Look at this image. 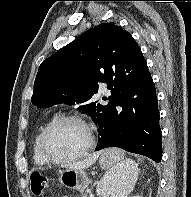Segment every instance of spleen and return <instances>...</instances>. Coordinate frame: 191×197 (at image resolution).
Returning <instances> with one entry per match:
<instances>
[{"instance_id": "3e777b00", "label": "spleen", "mask_w": 191, "mask_h": 197, "mask_svg": "<svg viewBox=\"0 0 191 197\" xmlns=\"http://www.w3.org/2000/svg\"><path fill=\"white\" fill-rule=\"evenodd\" d=\"M112 152L123 156L120 149H111ZM139 168L132 159H122L105 175V188L100 189L103 197H127L134 189L138 179Z\"/></svg>"}]
</instances>
